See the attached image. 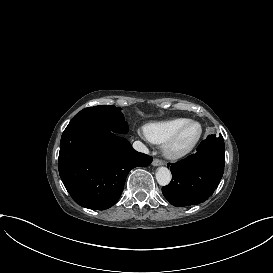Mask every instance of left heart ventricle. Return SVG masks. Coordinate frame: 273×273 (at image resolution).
I'll return each instance as SVG.
<instances>
[{
	"mask_svg": "<svg viewBox=\"0 0 273 273\" xmlns=\"http://www.w3.org/2000/svg\"><path fill=\"white\" fill-rule=\"evenodd\" d=\"M199 132V126L193 125L189 127L184 135L183 142H189L191 139H193L196 134Z\"/></svg>",
	"mask_w": 273,
	"mask_h": 273,
	"instance_id": "1",
	"label": "left heart ventricle"
}]
</instances>
